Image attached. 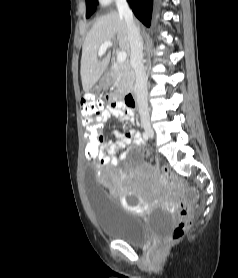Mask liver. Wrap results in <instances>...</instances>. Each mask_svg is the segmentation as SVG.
I'll list each match as a JSON object with an SVG mask.
<instances>
[{
    "label": "liver",
    "instance_id": "obj_1",
    "mask_svg": "<svg viewBox=\"0 0 238 278\" xmlns=\"http://www.w3.org/2000/svg\"><path fill=\"white\" fill-rule=\"evenodd\" d=\"M107 41H117L122 51L127 52L130 49L126 21L116 11L98 18L85 37L80 71L82 87L85 93L91 91L109 64L110 52L107 53L102 61L98 59V50Z\"/></svg>",
    "mask_w": 238,
    "mask_h": 278
}]
</instances>
